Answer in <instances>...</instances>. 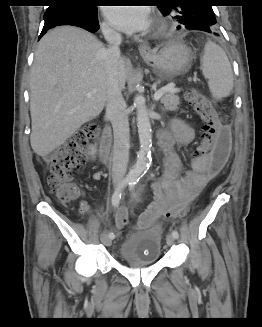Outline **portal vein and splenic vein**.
Masks as SVG:
<instances>
[{
	"mask_svg": "<svg viewBox=\"0 0 262 327\" xmlns=\"http://www.w3.org/2000/svg\"><path fill=\"white\" fill-rule=\"evenodd\" d=\"M167 91L178 92L179 89H176L174 84H170V85L156 91L155 94H154V100L158 101L164 95V93L167 92ZM90 95H91V93L87 94V96H90Z\"/></svg>",
	"mask_w": 262,
	"mask_h": 327,
	"instance_id": "1",
	"label": "portal vein and splenic vein"
}]
</instances>
